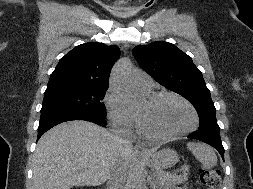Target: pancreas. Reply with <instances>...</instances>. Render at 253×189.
<instances>
[{"label": "pancreas", "instance_id": "cf45deb5", "mask_svg": "<svg viewBox=\"0 0 253 189\" xmlns=\"http://www.w3.org/2000/svg\"><path fill=\"white\" fill-rule=\"evenodd\" d=\"M187 170H183L182 174H176V173H169L164 172L162 170H157L155 172L157 181L160 186L164 187H172L175 185L183 184L188 180V173Z\"/></svg>", "mask_w": 253, "mask_h": 189}]
</instances>
